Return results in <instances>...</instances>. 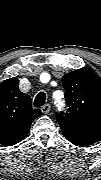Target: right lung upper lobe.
<instances>
[{
    "label": "right lung upper lobe",
    "mask_w": 101,
    "mask_h": 180,
    "mask_svg": "<svg viewBox=\"0 0 101 180\" xmlns=\"http://www.w3.org/2000/svg\"><path fill=\"white\" fill-rule=\"evenodd\" d=\"M40 115L39 109L32 108L30 96L19 90L17 78L0 84V144L11 146L22 141Z\"/></svg>",
    "instance_id": "cb5924a9"
}]
</instances>
